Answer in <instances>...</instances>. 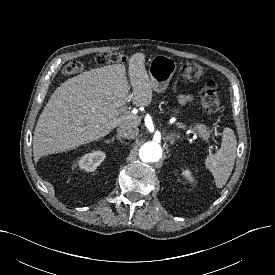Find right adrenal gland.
<instances>
[{
  "label": "right adrenal gland",
  "mask_w": 275,
  "mask_h": 275,
  "mask_svg": "<svg viewBox=\"0 0 275 275\" xmlns=\"http://www.w3.org/2000/svg\"><path fill=\"white\" fill-rule=\"evenodd\" d=\"M114 139H117L119 142L123 143V140H122V138H121L119 135L113 136L112 141H113Z\"/></svg>",
  "instance_id": "obj_1"
}]
</instances>
